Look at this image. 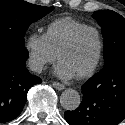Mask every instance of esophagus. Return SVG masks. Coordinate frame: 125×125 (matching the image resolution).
Segmentation results:
<instances>
[{"label":"esophagus","mask_w":125,"mask_h":125,"mask_svg":"<svg viewBox=\"0 0 125 125\" xmlns=\"http://www.w3.org/2000/svg\"><path fill=\"white\" fill-rule=\"evenodd\" d=\"M52 86L57 89V90H64L65 89V86L59 82H53L52 83Z\"/></svg>","instance_id":"1"}]
</instances>
